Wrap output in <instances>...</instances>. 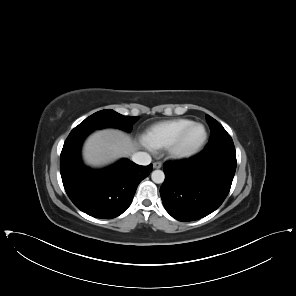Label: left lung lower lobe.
Listing matches in <instances>:
<instances>
[{
    "label": "left lung lower lobe",
    "instance_id": "left-lung-lower-lobe-1",
    "mask_svg": "<svg viewBox=\"0 0 296 296\" xmlns=\"http://www.w3.org/2000/svg\"><path fill=\"white\" fill-rule=\"evenodd\" d=\"M236 154L223 152L208 159L200 154L164 165L160 188L167 212L179 221H192L215 211L229 193L236 170Z\"/></svg>",
    "mask_w": 296,
    "mask_h": 296
}]
</instances>
